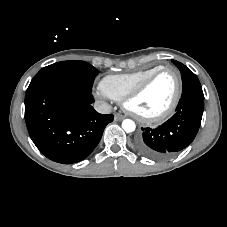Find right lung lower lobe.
I'll use <instances>...</instances> for the list:
<instances>
[{"instance_id":"obj_1","label":"right lung lower lobe","mask_w":227,"mask_h":227,"mask_svg":"<svg viewBox=\"0 0 227 227\" xmlns=\"http://www.w3.org/2000/svg\"><path fill=\"white\" fill-rule=\"evenodd\" d=\"M93 102L91 91L66 81L48 80L29 86L25 120L39 151L63 164L85 159L114 117L96 112Z\"/></svg>"}]
</instances>
